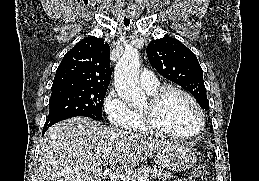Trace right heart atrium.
<instances>
[{"label": "right heart atrium", "instance_id": "d8ad5b80", "mask_svg": "<svg viewBox=\"0 0 259 181\" xmlns=\"http://www.w3.org/2000/svg\"><path fill=\"white\" fill-rule=\"evenodd\" d=\"M103 110L113 128L129 129L131 127L133 111L116 90H110L105 96Z\"/></svg>", "mask_w": 259, "mask_h": 181}]
</instances>
